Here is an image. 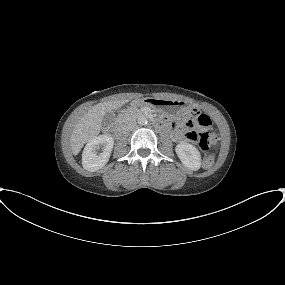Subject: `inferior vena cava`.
I'll return each instance as SVG.
<instances>
[{"label": "inferior vena cava", "instance_id": "602c4592", "mask_svg": "<svg viewBox=\"0 0 285 285\" xmlns=\"http://www.w3.org/2000/svg\"><path fill=\"white\" fill-rule=\"evenodd\" d=\"M137 127V123L136 122H129L123 125V133H128L132 130H134Z\"/></svg>", "mask_w": 285, "mask_h": 285}]
</instances>
